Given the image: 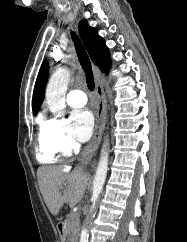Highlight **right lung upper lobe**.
I'll list each match as a JSON object with an SVG mask.
<instances>
[{
	"mask_svg": "<svg viewBox=\"0 0 187 242\" xmlns=\"http://www.w3.org/2000/svg\"><path fill=\"white\" fill-rule=\"evenodd\" d=\"M79 34L93 63L98 66L102 72H108L110 69V53L104 39L98 35L95 28L88 24L86 19L81 20L79 24ZM48 72V62L44 61L34 87L32 101L34 114L38 112V109L44 100Z\"/></svg>",
	"mask_w": 187,
	"mask_h": 242,
	"instance_id": "obj_1",
	"label": "right lung upper lobe"
}]
</instances>
